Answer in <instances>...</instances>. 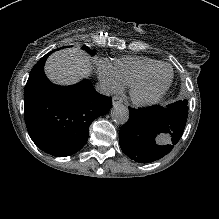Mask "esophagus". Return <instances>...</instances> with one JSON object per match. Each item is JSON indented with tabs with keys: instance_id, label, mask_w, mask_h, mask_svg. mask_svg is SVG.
<instances>
[{
	"instance_id": "obj_1",
	"label": "esophagus",
	"mask_w": 219,
	"mask_h": 219,
	"mask_svg": "<svg viewBox=\"0 0 219 219\" xmlns=\"http://www.w3.org/2000/svg\"><path fill=\"white\" fill-rule=\"evenodd\" d=\"M122 102H123V100H122L121 97H119V96H114V97H112V103H113V105H115L116 103H122Z\"/></svg>"
}]
</instances>
